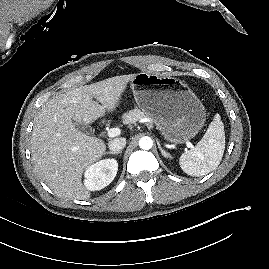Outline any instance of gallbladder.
Wrapping results in <instances>:
<instances>
[{"label":"gallbladder","mask_w":269,"mask_h":269,"mask_svg":"<svg viewBox=\"0 0 269 269\" xmlns=\"http://www.w3.org/2000/svg\"><path fill=\"white\" fill-rule=\"evenodd\" d=\"M73 123H74V125H75V127L79 130V131H81V132H83V133H85V134H91L92 133V127L91 126H89V125H85V124H83V123H79V122H76V121H73Z\"/></svg>","instance_id":"obj_1"}]
</instances>
